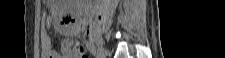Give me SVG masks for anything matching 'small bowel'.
I'll use <instances>...</instances> for the list:
<instances>
[{
  "label": "small bowel",
  "instance_id": "1",
  "mask_svg": "<svg viewBox=\"0 0 225 58\" xmlns=\"http://www.w3.org/2000/svg\"><path fill=\"white\" fill-rule=\"evenodd\" d=\"M46 24L47 25H51L52 24V18L51 17H47L46 18ZM78 32L77 28H69L66 30V33L69 36H74L76 35ZM75 45L74 41L71 39H66L65 41H63V43L61 44V46L59 47L58 51H55L52 48L51 42L50 41H46L44 46H43V52H45L49 58H67L70 57V49ZM72 58V57H70Z\"/></svg>",
  "mask_w": 225,
  "mask_h": 58
}]
</instances>
